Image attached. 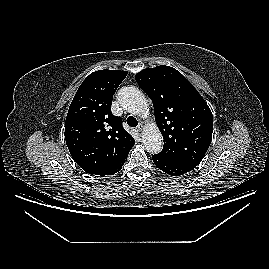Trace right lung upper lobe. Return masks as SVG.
I'll use <instances>...</instances> for the list:
<instances>
[{
  "label": "right lung upper lobe",
  "instance_id": "1",
  "mask_svg": "<svg viewBox=\"0 0 269 269\" xmlns=\"http://www.w3.org/2000/svg\"><path fill=\"white\" fill-rule=\"evenodd\" d=\"M127 71L99 70L80 85L69 107L65 140L74 161L91 175L120 171L135 141L111 113L113 95Z\"/></svg>",
  "mask_w": 269,
  "mask_h": 269
}]
</instances>
